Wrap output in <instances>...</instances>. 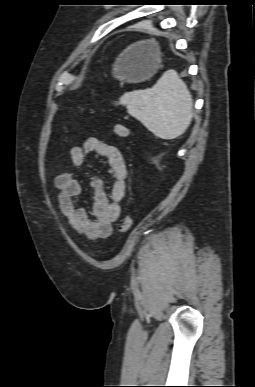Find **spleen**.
<instances>
[{
    "instance_id": "obj_1",
    "label": "spleen",
    "mask_w": 255,
    "mask_h": 387,
    "mask_svg": "<svg viewBox=\"0 0 255 387\" xmlns=\"http://www.w3.org/2000/svg\"><path fill=\"white\" fill-rule=\"evenodd\" d=\"M119 103L162 139L180 136L192 121L191 93L174 70L164 72L152 88L124 93Z\"/></svg>"
}]
</instances>
